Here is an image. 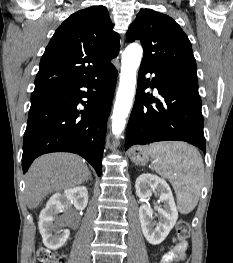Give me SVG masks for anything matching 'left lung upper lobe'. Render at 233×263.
Returning <instances> with one entry per match:
<instances>
[{
    "label": "left lung upper lobe",
    "mask_w": 233,
    "mask_h": 263,
    "mask_svg": "<svg viewBox=\"0 0 233 263\" xmlns=\"http://www.w3.org/2000/svg\"><path fill=\"white\" fill-rule=\"evenodd\" d=\"M127 39L129 42L141 41L143 64L165 72L197 77L191 43L171 17L143 9L130 25Z\"/></svg>",
    "instance_id": "1"
}]
</instances>
